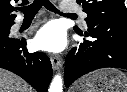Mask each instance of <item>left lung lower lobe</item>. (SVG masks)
I'll return each mask as SVG.
<instances>
[{"instance_id":"left-lung-lower-lobe-1","label":"left lung lower lobe","mask_w":127,"mask_h":92,"mask_svg":"<svg viewBox=\"0 0 127 92\" xmlns=\"http://www.w3.org/2000/svg\"><path fill=\"white\" fill-rule=\"evenodd\" d=\"M77 33L96 40H84L68 53L65 64L66 87L96 69H127V26L99 24L89 27L86 32Z\"/></svg>"}]
</instances>
